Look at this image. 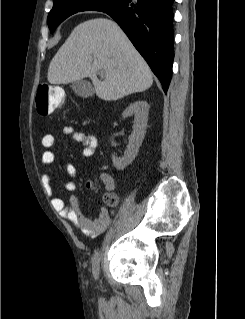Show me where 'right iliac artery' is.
I'll use <instances>...</instances> for the list:
<instances>
[{"label": "right iliac artery", "instance_id": "82829eb1", "mask_svg": "<svg viewBox=\"0 0 245 319\" xmlns=\"http://www.w3.org/2000/svg\"><path fill=\"white\" fill-rule=\"evenodd\" d=\"M99 254L98 252H95L94 258H93V273L95 278H98L99 275Z\"/></svg>", "mask_w": 245, "mask_h": 319}]
</instances>
